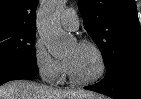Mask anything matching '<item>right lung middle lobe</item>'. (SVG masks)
I'll return each instance as SVG.
<instances>
[{
	"instance_id": "dd1d6c3e",
	"label": "right lung middle lobe",
	"mask_w": 141,
	"mask_h": 99,
	"mask_svg": "<svg viewBox=\"0 0 141 99\" xmlns=\"http://www.w3.org/2000/svg\"><path fill=\"white\" fill-rule=\"evenodd\" d=\"M35 34L36 28L32 27H0V66L8 64L37 66Z\"/></svg>"
}]
</instances>
